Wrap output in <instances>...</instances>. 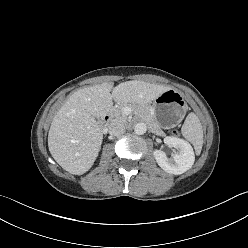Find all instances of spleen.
<instances>
[{"mask_svg":"<svg viewBox=\"0 0 248 248\" xmlns=\"http://www.w3.org/2000/svg\"><path fill=\"white\" fill-rule=\"evenodd\" d=\"M182 135L193 144L197 153L201 152L203 144V130L199 118L191 112L185 119L181 129Z\"/></svg>","mask_w":248,"mask_h":248,"instance_id":"1","label":"spleen"}]
</instances>
